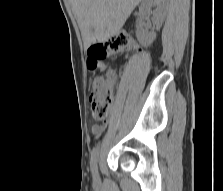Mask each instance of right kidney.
<instances>
[{"mask_svg": "<svg viewBox=\"0 0 223 191\" xmlns=\"http://www.w3.org/2000/svg\"><path fill=\"white\" fill-rule=\"evenodd\" d=\"M167 1L166 0H144L140 5L141 13H145L150 7L154 6L157 8L155 14V24L156 29L159 30L165 19ZM137 38L143 45L151 44L156 38V32H149L147 29L139 28L137 29Z\"/></svg>", "mask_w": 223, "mask_h": 191, "instance_id": "right-kidney-1", "label": "right kidney"}]
</instances>
